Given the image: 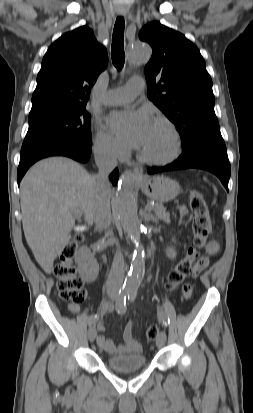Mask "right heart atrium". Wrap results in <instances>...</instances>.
I'll return each instance as SVG.
<instances>
[{"label":"right heart atrium","mask_w":253,"mask_h":413,"mask_svg":"<svg viewBox=\"0 0 253 413\" xmlns=\"http://www.w3.org/2000/svg\"><path fill=\"white\" fill-rule=\"evenodd\" d=\"M94 152L102 160L113 161L124 158L127 149L111 133L98 127L94 138Z\"/></svg>","instance_id":"obj_1"}]
</instances>
